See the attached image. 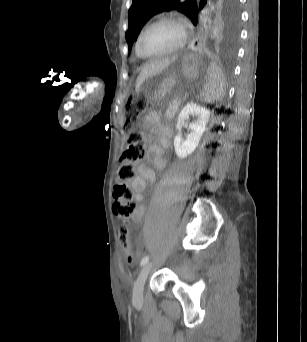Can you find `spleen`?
<instances>
[{
	"label": "spleen",
	"mask_w": 307,
	"mask_h": 342,
	"mask_svg": "<svg viewBox=\"0 0 307 342\" xmlns=\"http://www.w3.org/2000/svg\"><path fill=\"white\" fill-rule=\"evenodd\" d=\"M210 65L207 66L208 82L204 83V100L211 102V100H217L222 95L224 84H226V77L223 76V71L219 70V66L214 62L212 58Z\"/></svg>",
	"instance_id": "spleen-1"
}]
</instances>
